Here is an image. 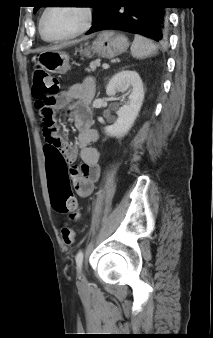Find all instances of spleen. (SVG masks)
Here are the masks:
<instances>
[{
	"label": "spleen",
	"mask_w": 213,
	"mask_h": 338,
	"mask_svg": "<svg viewBox=\"0 0 213 338\" xmlns=\"http://www.w3.org/2000/svg\"><path fill=\"white\" fill-rule=\"evenodd\" d=\"M158 53V47L149 39L135 35L134 41L131 45V54L137 59H143L156 55Z\"/></svg>",
	"instance_id": "spleen-1"
}]
</instances>
